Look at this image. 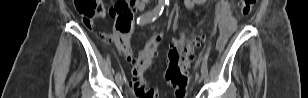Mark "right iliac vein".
Instances as JSON below:
<instances>
[{
  "label": "right iliac vein",
  "instance_id": "obj_1",
  "mask_svg": "<svg viewBox=\"0 0 308 98\" xmlns=\"http://www.w3.org/2000/svg\"><path fill=\"white\" fill-rule=\"evenodd\" d=\"M116 82H117L118 85H122L123 84V79H122L121 75L118 78H116Z\"/></svg>",
  "mask_w": 308,
  "mask_h": 98
}]
</instances>
